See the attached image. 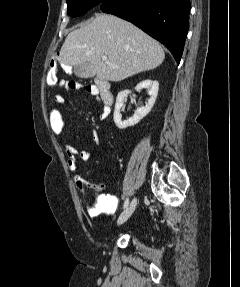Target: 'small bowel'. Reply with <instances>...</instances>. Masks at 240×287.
I'll return each mask as SVG.
<instances>
[{
  "label": "small bowel",
  "mask_w": 240,
  "mask_h": 287,
  "mask_svg": "<svg viewBox=\"0 0 240 287\" xmlns=\"http://www.w3.org/2000/svg\"><path fill=\"white\" fill-rule=\"evenodd\" d=\"M86 91L91 94L92 96H95L98 98V89L94 85H88L86 86ZM56 100L58 102H64V98L62 95H57ZM110 114V107L105 105L103 106V109L100 113V116L102 118H106ZM92 138L96 145H99L100 138L96 131L91 132ZM65 154L67 157V164L68 168L71 172H75L77 169V160L80 159L82 161H88L92 157V153L90 150H78L73 145L65 142L63 144ZM95 189H101L102 185H92ZM118 204V198L115 195L111 194H103L98 198V201L95 205H92L90 208H88V214L91 218L99 219L104 215H107L115 210Z\"/></svg>",
  "instance_id": "small-bowel-1"
}]
</instances>
